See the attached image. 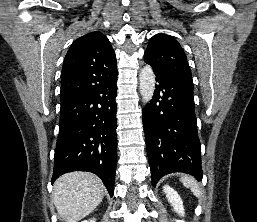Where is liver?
<instances>
[{
    "label": "liver",
    "instance_id": "6515ba94",
    "mask_svg": "<svg viewBox=\"0 0 257 222\" xmlns=\"http://www.w3.org/2000/svg\"><path fill=\"white\" fill-rule=\"evenodd\" d=\"M104 186L92 173L71 172L54 184V205L65 222H78L103 200Z\"/></svg>",
    "mask_w": 257,
    "mask_h": 222
}]
</instances>
